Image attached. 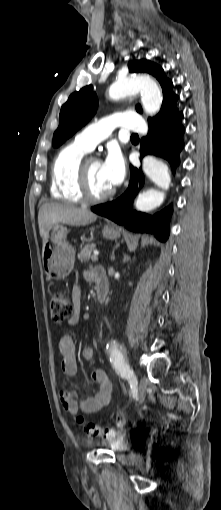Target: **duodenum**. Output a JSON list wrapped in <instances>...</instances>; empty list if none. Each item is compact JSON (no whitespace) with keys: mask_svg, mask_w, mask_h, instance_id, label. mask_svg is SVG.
<instances>
[{"mask_svg":"<svg viewBox=\"0 0 221 510\" xmlns=\"http://www.w3.org/2000/svg\"><path fill=\"white\" fill-rule=\"evenodd\" d=\"M93 278L96 288V297L99 302H103L108 295V278L103 268H96L93 271Z\"/></svg>","mask_w":221,"mask_h":510,"instance_id":"obj_1","label":"duodenum"}]
</instances>
